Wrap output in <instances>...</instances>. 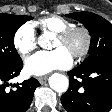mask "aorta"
<instances>
[{
  "label": "aorta",
  "instance_id": "obj_1",
  "mask_svg": "<svg viewBox=\"0 0 112 112\" xmlns=\"http://www.w3.org/2000/svg\"><path fill=\"white\" fill-rule=\"evenodd\" d=\"M38 44L42 48H48L50 45V38L48 35H41L38 38ZM49 85L50 87L58 92V93H64L68 90L69 87V80L68 78L60 73H54L49 77Z\"/></svg>",
  "mask_w": 112,
  "mask_h": 112
}]
</instances>
